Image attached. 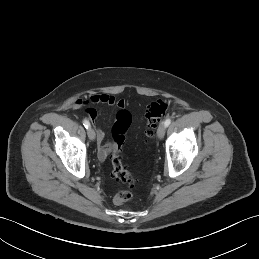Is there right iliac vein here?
I'll return each instance as SVG.
<instances>
[{
    "label": "right iliac vein",
    "instance_id": "right-iliac-vein-1",
    "mask_svg": "<svg viewBox=\"0 0 259 259\" xmlns=\"http://www.w3.org/2000/svg\"><path fill=\"white\" fill-rule=\"evenodd\" d=\"M87 135H88L89 139L92 141L95 140V138H96V134H95V131L93 128H90V127L88 128Z\"/></svg>",
    "mask_w": 259,
    "mask_h": 259
}]
</instances>
